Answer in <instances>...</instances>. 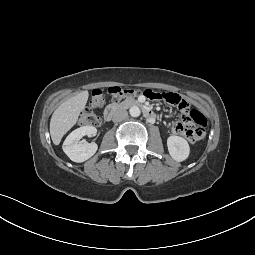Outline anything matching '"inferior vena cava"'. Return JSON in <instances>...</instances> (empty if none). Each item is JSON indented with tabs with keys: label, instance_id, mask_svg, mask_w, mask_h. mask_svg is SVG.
Masks as SVG:
<instances>
[{
	"label": "inferior vena cava",
	"instance_id": "602c4592",
	"mask_svg": "<svg viewBox=\"0 0 255 255\" xmlns=\"http://www.w3.org/2000/svg\"><path fill=\"white\" fill-rule=\"evenodd\" d=\"M128 116V112L125 109H117L112 116L114 122H120L125 120Z\"/></svg>",
	"mask_w": 255,
	"mask_h": 255
}]
</instances>
